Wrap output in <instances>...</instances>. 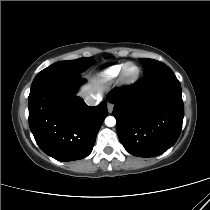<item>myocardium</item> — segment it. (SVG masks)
Returning <instances> with one entry per match:
<instances>
[{
  "label": "myocardium",
  "instance_id": "myocardium-1",
  "mask_svg": "<svg viewBox=\"0 0 210 210\" xmlns=\"http://www.w3.org/2000/svg\"><path fill=\"white\" fill-rule=\"evenodd\" d=\"M131 66H134L136 68V72L133 75L128 74V69ZM140 74H141L140 67L133 62H128L122 68L121 79H122L123 83H125V84H133L139 79Z\"/></svg>",
  "mask_w": 210,
  "mask_h": 210
}]
</instances>
